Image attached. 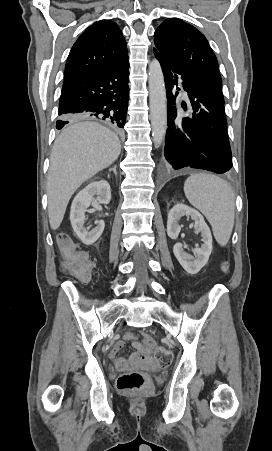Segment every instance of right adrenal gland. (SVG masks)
Returning a JSON list of instances; mask_svg holds the SVG:
<instances>
[{
  "mask_svg": "<svg viewBox=\"0 0 272 451\" xmlns=\"http://www.w3.org/2000/svg\"><path fill=\"white\" fill-rule=\"evenodd\" d=\"M109 172H114V174H117V172H116V166H114V168H110Z\"/></svg>",
  "mask_w": 272,
  "mask_h": 451,
  "instance_id": "2a0ac1e0",
  "label": "right adrenal gland"
}]
</instances>
